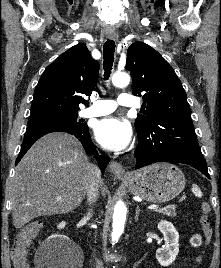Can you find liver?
<instances>
[{
  "instance_id": "1",
  "label": "liver",
  "mask_w": 221,
  "mask_h": 268,
  "mask_svg": "<svg viewBox=\"0 0 221 268\" xmlns=\"http://www.w3.org/2000/svg\"><path fill=\"white\" fill-rule=\"evenodd\" d=\"M93 177L94 166L75 137L59 132L43 136L15 169L11 187L14 227L19 229L39 216L71 212L81 204ZM100 190L105 196L103 181Z\"/></svg>"
}]
</instances>
